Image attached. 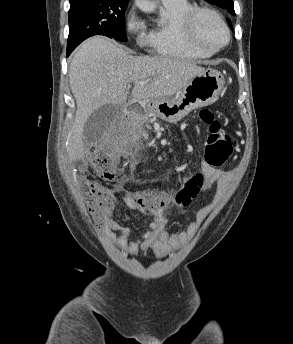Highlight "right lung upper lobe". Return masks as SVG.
Listing matches in <instances>:
<instances>
[{
	"instance_id": "cb5924a9",
	"label": "right lung upper lobe",
	"mask_w": 293,
	"mask_h": 344,
	"mask_svg": "<svg viewBox=\"0 0 293 344\" xmlns=\"http://www.w3.org/2000/svg\"><path fill=\"white\" fill-rule=\"evenodd\" d=\"M83 0H70L71 4L77 3V2H81ZM109 1H122V2H129V0H109Z\"/></svg>"
}]
</instances>
